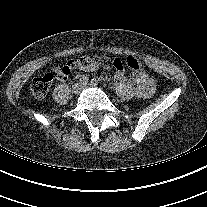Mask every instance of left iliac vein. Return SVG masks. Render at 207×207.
Here are the masks:
<instances>
[{
	"instance_id": "left-iliac-vein-1",
	"label": "left iliac vein",
	"mask_w": 207,
	"mask_h": 207,
	"mask_svg": "<svg viewBox=\"0 0 207 207\" xmlns=\"http://www.w3.org/2000/svg\"><path fill=\"white\" fill-rule=\"evenodd\" d=\"M93 86H96V85H93ZM84 87H88V85H87V84H85V85H84Z\"/></svg>"
}]
</instances>
